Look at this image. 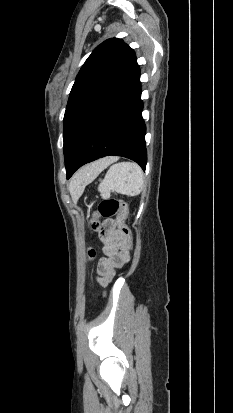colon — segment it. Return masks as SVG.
I'll return each mask as SVG.
<instances>
[{"label": "colon", "instance_id": "obj_1", "mask_svg": "<svg viewBox=\"0 0 233 413\" xmlns=\"http://www.w3.org/2000/svg\"><path fill=\"white\" fill-rule=\"evenodd\" d=\"M113 216H116V227L118 229V232L125 238L130 249L132 244V235L127 225L125 224L127 216V204L124 201L115 198L102 200L90 220L91 229L102 233L106 229V226L105 224H102L100 222V218H110ZM94 256V249H90L88 251L89 259H93Z\"/></svg>", "mask_w": 233, "mask_h": 413}]
</instances>
